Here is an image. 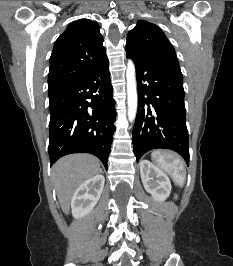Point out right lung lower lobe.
Masks as SVG:
<instances>
[{"instance_id": "obj_1", "label": "right lung lower lobe", "mask_w": 233, "mask_h": 266, "mask_svg": "<svg viewBox=\"0 0 233 266\" xmlns=\"http://www.w3.org/2000/svg\"><path fill=\"white\" fill-rule=\"evenodd\" d=\"M108 63L49 95L51 165L67 154L91 153L107 169L116 118Z\"/></svg>"}]
</instances>
